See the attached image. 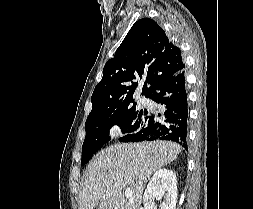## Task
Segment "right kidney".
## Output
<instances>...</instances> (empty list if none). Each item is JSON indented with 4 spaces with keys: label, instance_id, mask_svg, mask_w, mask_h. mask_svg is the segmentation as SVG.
I'll list each match as a JSON object with an SVG mask.
<instances>
[{
    "label": "right kidney",
    "instance_id": "obj_1",
    "mask_svg": "<svg viewBox=\"0 0 253 209\" xmlns=\"http://www.w3.org/2000/svg\"><path fill=\"white\" fill-rule=\"evenodd\" d=\"M158 197L164 198L159 209H176L177 179L172 170L164 168L155 172L143 196L144 209H157L154 201Z\"/></svg>",
    "mask_w": 253,
    "mask_h": 209
}]
</instances>
